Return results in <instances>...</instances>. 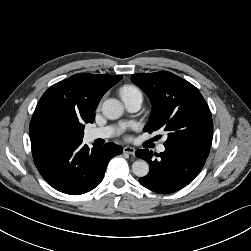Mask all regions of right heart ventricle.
I'll return each instance as SVG.
<instances>
[{
    "label": "right heart ventricle",
    "mask_w": 251,
    "mask_h": 251,
    "mask_svg": "<svg viewBox=\"0 0 251 251\" xmlns=\"http://www.w3.org/2000/svg\"><path fill=\"white\" fill-rule=\"evenodd\" d=\"M120 94L123 99L127 97L136 96V95L142 96L141 91L136 86H133V85L123 86L120 90Z\"/></svg>",
    "instance_id": "right-heart-ventricle-1"
}]
</instances>
